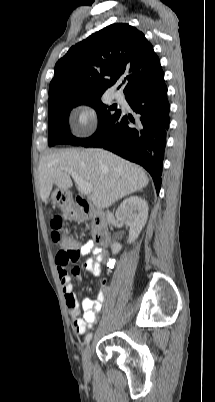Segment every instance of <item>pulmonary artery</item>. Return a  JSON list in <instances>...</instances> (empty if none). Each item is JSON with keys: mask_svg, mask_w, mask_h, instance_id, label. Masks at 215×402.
Listing matches in <instances>:
<instances>
[{"mask_svg": "<svg viewBox=\"0 0 215 402\" xmlns=\"http://www.w3.org/2000/svg\"><path fill=\"white\" fill-rule=\"evenodd\" d=\"M114 97H115L117 100H122V95H121L119 92L114 93Z\"/></svg>", "mask_w": 215, "mask_h": 402, "instance_id": "obj_1", "label": "pulmonary artery"}]
</instances>
